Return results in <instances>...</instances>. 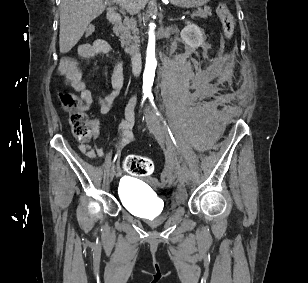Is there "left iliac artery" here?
I'll use <instances>...</instances> for the list:
<instances>
[{"mask_svg": "<svg viewBox=\"0 0 308 283\" xmlns=\"http://www.w3.org/2000/svg\"><path fill=\"white\" fill-rule=\"evenodd\" d=\"M145 94H146L147 97L150 99V101L153 103V95L151 94V92H147V93H145ZM156 115H157V119H158L159 121H163V118H162V116H161V114H160L159 112H157ZM163 122H164V126H165V127L167 126V130H168V132H169V135H170V137H171L173 143L177 146L176 140H175L174 135H173V132L170 130V128L168 127V125L166 124V122H165V121H163Z\"/></svg>", "mask_w": 308, "mask_h": 283, "instance_id": "obj_1", "label": "left iliac artery"}]
</instances>
